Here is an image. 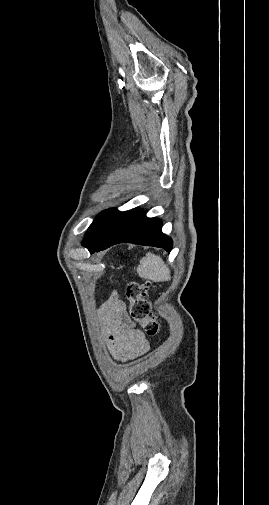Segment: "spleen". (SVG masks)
<instances>
[{"label":"spleen","instance_id":"obj_1","mask_svg":"<svg viewBox=\"0 0 269 505\" xmlns=\"http://www.w3.org/2000/svg\"><path fill=\"white\" fill-rule=\"evenodd\" d=\"M137 273L141 278L152 280L154 282H164L171 280L169 268L162 258L158 255L148 252L140 260L137 267Z\"/></svg>","mask_w":269,"mask_h":505}]
</instances>
